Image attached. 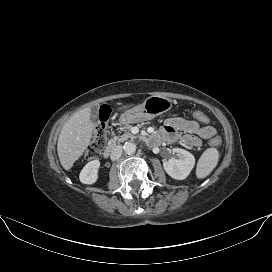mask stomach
<instances>
[{
    "label": "stomach",
    "mask_w": 272,
    "mask_h": 272,
    "mask_svg": "<svg viewBox=\"0 0 272 272\" xmlns=\"http://www.w3.org/2000/svg\"><path fill=\"white\" fill-rule=\"evenodd\" d=\"M173 102L171 99L152 95L148 97L142 104L137 105L125 111L120 121L122 124H134L151 120L172 108Z\"/></svg>",
    "instance_id": "1"
}]
</instances>
